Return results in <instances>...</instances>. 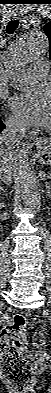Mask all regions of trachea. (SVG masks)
Segmentation results:
<instances>
[{
    "mask_svg": "<svg viewBox=\"0 0 51 393\" xmlns=\"http://www.w3.org/2000/svg\"><path fill=\"white\" fill-rule=\"evenodd\" d=\"M19 24L18 20H11L8 22L7 27H6V32L8 34H13L15 32V30L17 29Z\"/></svg>",
    "mask_w": 51,
    "mask_h": 393,
    "instance_id": "1",
    "label": "trachea"
}]
</instances>
